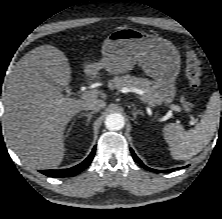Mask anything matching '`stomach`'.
I'll list each match as a JSON object with an SVG mask.
<instances>
[{
    "label": "stomach",
    "mask_w": 222,
    "mask_h": 219,
    "mask_svg": "<svg viewBox=\"0 0 222 219\" xmlns=\"http://www.w3.org/2000/svg\"><path fill=\"white\" fill-rule=\"evenodd\" d=\"M101 52L102 59L94 65L119 75L138 64L146 75L156 80L159 102L174 99L181 59L177 48L167 39L134 28H120L108 35Z\"/></svg>",
    "instance_id": "obj_1"
}]
</instances>
